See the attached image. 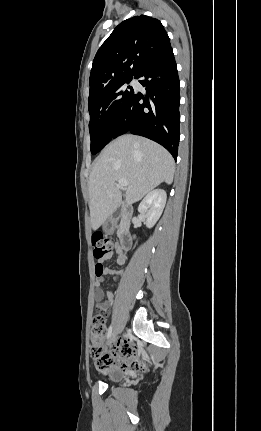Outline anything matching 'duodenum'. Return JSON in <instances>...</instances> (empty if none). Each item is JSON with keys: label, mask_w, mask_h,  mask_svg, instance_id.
Segmentation results:
<instances>
[{"label": "duodenum", "mask_w": 261, "mask_h": 431, "mask_svg": "<svg viewBox=\"0 0 261 431\" xmlns=\"http://www.w3.org/2000/svg\"><path fill=\"white\" fill-rule=\"evenodd\" d=\"M121 215H122V221L119 227V243L120 247L123 251H127L131 247V235L129 231L130 227V219H131V211L125 207H121ZM114 218H110L107 223V228H112L114 225Z\"/></svg>", "instance_id": "obj_1"}]
</instances>
